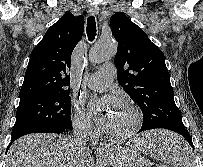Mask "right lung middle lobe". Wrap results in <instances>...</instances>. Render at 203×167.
I'll return each mask as SVG.
<instances>
[{
    "mask_svg": "<svg viewBox=\"0 0 203 167\" xmlns=\"http://www.w3.org/2000/svg\"><path fill=\"white\" fill-rule=\"evenodd\" d=\"M69 91L38 95L20 101L12 138L52 128L72 127Z\"/></svg>",
    "mask_w": 203,
    "mask_h": 167,
    "instance_id": "obj_1",
    "label": "right lung middle lobe"
}]
</instances>
